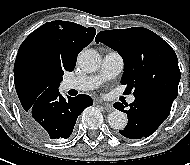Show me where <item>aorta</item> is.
<instances>
[{
    "label": "aorta",
    "mask_w": 190,
    "mask_h": 165,
    "mask_svg": "<svg viewBox=\"0 0 190 165\" xmlns=\"http://www.w3.org/2000/svg\"><path fill=\"white\" fill-rule=\"evenodd\" d=\"M77 61L84 71L95 72L100 67L101 57L97 51L86 49L79 53ZM107 120L110 127L117 130L124 129L127 124V116L119 110L111 112Z\"/></svg>",
    "instance_id": "762f6f07"
}]
</instances>
